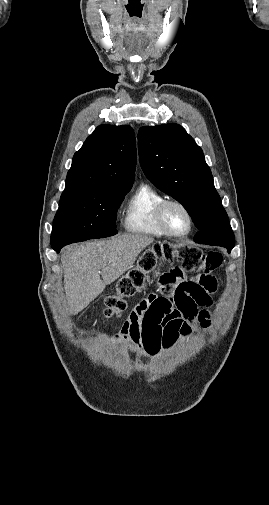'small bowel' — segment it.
<instances>
[{"label": "small bowel", "mask_w": 269, "mask_h": 505, "mask_svg": "<svg viewBox=\"0 0 269 505\" xmlns=\"http://www.w3.org/2000/svg\"><path fill=\"white\" fill-rule=\"evenodd\" d=\"M186 278V279H184ZM157 289L143 298L142 307L128 315L121 336L128 339L134 353L157 355L162 348L172 347L179 338L211 327L210 295L217 289L215 271L186 274L184 269H164ZM183 289H182V288ZM139 306V305H138Z\"/></svg>", "instance_id": "small-bowel-1"}]
</instances>
